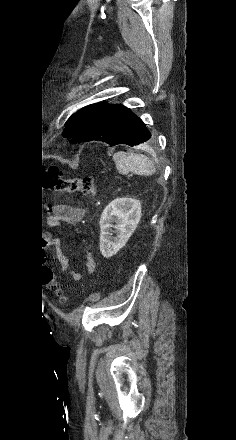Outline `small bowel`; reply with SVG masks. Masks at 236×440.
I'll return each mask as SVG.
<instances>
[{
	"label": "small bowel",
	"mask_w": 236,
	"mask_h": 440,
	"mask_svg": "<svg viewBox=\"0 0 236 440\" xmlns=\"http://www.w3.org/2000/svg\"><path fill=\"white\" fill-rule=\"evenodd\" d=\"M85 211L79 207H73L68 205H58L55 208L54 214L49 219V224L53 227H59L62 223H66L71 226H76L84 217ZM55 245L59 246V242L55 240ZM91 248L88 243H85V267L83 271H72V278L74 281H80L85 277L92 275L96 268V262L91 255ZM59 261L61 265V271L65 273L68 269V259L59 254Z\"/></svg>",
	"instance_id": "c3829d8e"
}]
</instances>
